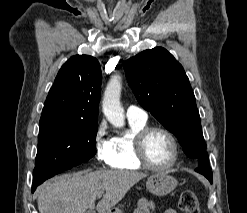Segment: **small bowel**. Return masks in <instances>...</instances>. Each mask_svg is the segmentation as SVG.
<instances>
[{"label":"small bowel","mask_w":247,"mask_h":213,"mask_svg":"<svg viewBox=\"0 0 247 213\" xmlns=\"http://www.w3.org/2000/svg\"><path fill=\"white\" fill-rule=\"evenodd\" d=\"M153 203L149 200L143 199L138 202L135 213H152ZM164 213H177L174 209H167Z\"/></svg>","instance_id":"obj_1"}]
</instances>
